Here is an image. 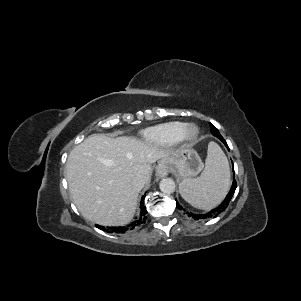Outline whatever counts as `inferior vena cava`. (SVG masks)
Instances as JSON below:
<instances>
[{
	"label": "inferior vena cava",
	"mask_w": 301,
	"mask_h": 301,
	"mask_svg": "<svg viewBox=\"0 0 301 301\" xmlns=\"http://www.w3.org/2000/svg\"><path fill=\"white\" fill-rule=\"evenodd\" d=\"M132 183L137 190H141L145 185V179L143 176H137L133 179Z\"/></svg>",
	"instance_id": "inferior-vena-cava-1"
}]
</instances>
